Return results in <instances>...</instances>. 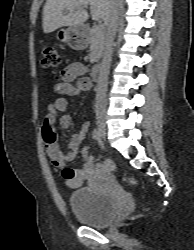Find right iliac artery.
<instances>
[{"label":"right iliac artery","mask_w":194,"mask_h":250,"mask_svg":"<svg viewBox=\"0 0 194 250\" xmlns=\"http://www.w3.org/2000/svg\"><path fill=\"white\" fill-rule=\"evenodd\" d=\"M92 137H93V139H94L95 141H97V140L100 139V133H99V131H98L97 128H95V129L93 130Z\"/></svg>","instance_id":"82829eb1"}]
</instances>
